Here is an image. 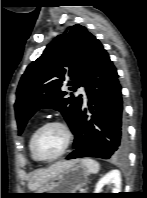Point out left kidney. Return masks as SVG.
<instances>
[{"mask_svg": "<svg viewBox=\"0 0 147 198\" xmlns=\"http://www.w3.org/2000/svg\"><path fill=\"white\" fill-rule=\"evenodd\" d=\"M106 184H114V188L112 189V193L121 192V174L118 170H112L106 175H104L96 184V188L94 193H101L102 188Z\"/></svg>", "mask_w": 147, "mask_h": 198, "instance_id": "obj_1", "label": "left kidney"}]
</instances>
